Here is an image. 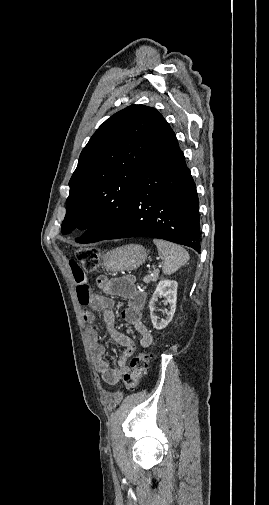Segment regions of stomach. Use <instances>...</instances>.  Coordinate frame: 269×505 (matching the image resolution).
Returning <instances> with one entry per match:
<instances>
[{
	"label": "stomach",
	"mask_w": 269,
	"mask_h": 505,
	"mask_svg": "<svg viewBox=\"0 0 269 505\" xmlns=\"http://www.w3.org/2000/svg\"><path fill=\"white\" fill-rule=\"evenodd\" d=\"M147 256L148 252L142 245L128 244L104 254L103 266L112 273L131 271L145 263Z\"/></svg>",
	"instance_id": "stomach-1"
}]
</instances>
